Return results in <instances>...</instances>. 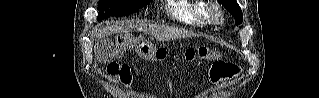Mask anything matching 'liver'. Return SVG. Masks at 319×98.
<instances>
[{"label": "liver", "instance_id": "obj_1", "mask_svg": "<svg viewBox=\"0 0 319 98\" xmlns=\"http://www.w3.org/2000/svg\"><path fill=\"white\" fill-rule=\"evenodd\" d=\"M131 31H142L145 33H149L153 35L158 41L175 40V39L188 38V37L194 36L192 32H188L183 29H178V28L164 26V25H147V24H142L139 22L131 23V24H128L127 26H121L118 24H109L98 31L96 35V49L100 48L99 44L106 37L112 34H117L122 32H131ZM97 59H99V57ZM103 63H105V61Z\"/></svg>", "mask_w": 319, "mask_h": 98}]
</instances>
